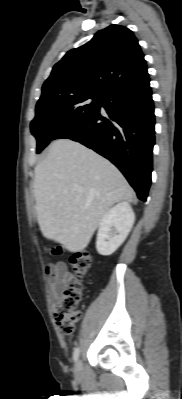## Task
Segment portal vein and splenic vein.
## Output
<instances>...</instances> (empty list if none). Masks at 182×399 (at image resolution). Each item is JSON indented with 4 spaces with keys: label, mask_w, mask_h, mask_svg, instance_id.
I'll return each instance as SVG.
<instances>
[{
    "label": "portal vein and splenic vein",
    "mask_w": 182,
    "mask_h": 399,
    "mask_svg": "<svg viewBox=\"0 0 182 399\" xmlns=\"http://www.w3.org/2000/svg\"><path fill=\"white\" fill-rule=\"evenodd\" d=\"M77 191H78V192H82V191H83V188H77Z\"/></svg>",
    "instance_id": "portal-vein-and-splenic-vein-1"
}]
</instances>
